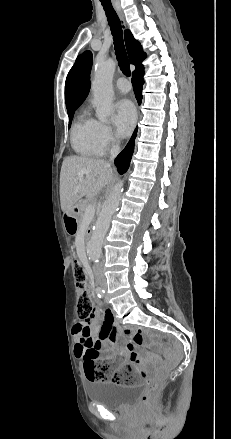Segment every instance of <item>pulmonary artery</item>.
I'll return each mask as SVG.
<instances>
[{"mask_svg": "<svg viewBox=\"0 0 231 439\" xmlns=\"http://www.w3.org/2000/svg\"><path fill=\"white\" fill-rule=\"evenodd\" d=\"M116 87L121 91V92H128L130 90V84L129 82L125 79V78H119L116 80Z\"/></svg>", "mask_w": 231, "mask_h": 439, "instance_id": "obj_1", "label": "pulmonary artery"}]
</instances>
